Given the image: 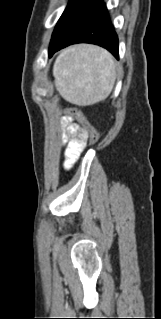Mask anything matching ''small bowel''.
Listing matches in <instances>:
<instances>
[{"instance_id": "c3829d8e", "label": "small bowel", "mask_w": 161, "mask_h": 319, "mask_svg": "<svg viewBox=\"0 0 161 319\" xmlns=\"http://www.w3.org/2000/svg\"><path fill=\"white\" fill-rule=\"evenodd\" d=\"M60 122L64 129L62 143L66 147L65 168L68 169L77 160L86 140L83 138L84 130L75 122L72 115H64Z\"/></svg>"}]
</instances>
